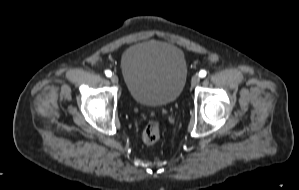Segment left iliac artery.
Here are the masks:
<instances>
[{"mask_svg": "<svg viewBox=\"0 0 299 190\" xmlns=\"http://www.w3.org/2000/svg\"><path fill=\"white\" fill-rule=\"evenodd\" d=\"M206 74H207V72H206L205 70H201V71L199 72V77L203 78V77L206 76Z\"/></svg>", "mask_w": 299, "mask_h": 190, "instance_id": "44dca946", "label": "left iliac artery"}]
</instances>
